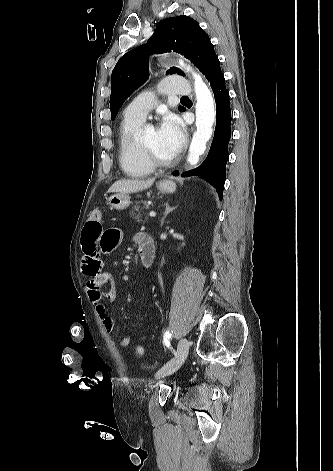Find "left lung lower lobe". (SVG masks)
<instances>
[{"label": "left lung lower lobe", "mask_w": 333, "mask_h": 471, "mask_svg": "<svg viewBox=\"0 0 333 471\" xmlns=\"http://www.w3.org/2000/svg\"><path fill=\"white\" fill-rule=\"evenodd\" d=\"M202 73L210 82L216 102V127L210 151L204 162L196 169L182 173V176H202L210 181L223 197L226 179L225 165L229 158L228 143L231 137V110L225 79L220 70L218 56L214 52L206 61ZM185 111V110H184ZM173 175H179L178 171Z\"/></svg>", "instance_id": "0a47b994"}]
</instances>
